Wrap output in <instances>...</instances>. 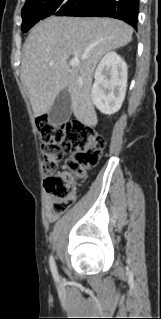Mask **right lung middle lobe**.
<instances>
[{
    "mask_svg": "<svg viewBox=\"0 0 161 319\" xmlns=\"http://www.w3.org/2000/svg\"><path fill=\"white\" fill-rule=\"evenodd\" d=\"M86 0H26L22 9V31L27 32L38 21L50 15L66 16Z\"/></svg>",
    "mask_w": 161,
    "mask_h": 319,
    "instance_id": "obj_1",
    "label": "right lung middle lobe"
}]
</instances>
